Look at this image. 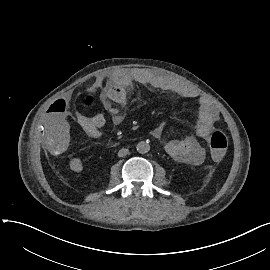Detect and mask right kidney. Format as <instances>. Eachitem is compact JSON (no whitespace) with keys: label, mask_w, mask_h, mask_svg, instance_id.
<instances>
[{"label":"right kidney","mask_w":270,"mask_h":270,"mask_svg":"<svg viewBox=\"0 0 270 270\" xmlns=\"http://www.w3.org/2000/svg\"><path fill=\"white\" fill-rule=\"evenodd\" d=\"M69 167L73 172L76 173L83 171V163L79 157H74L70 159Z\"/></svg>","instance_id":"1"}]
</instances>
